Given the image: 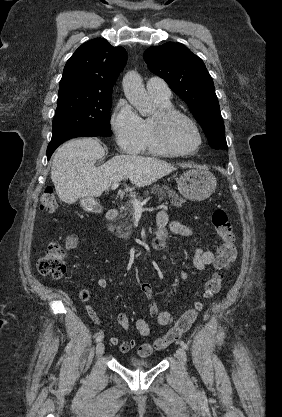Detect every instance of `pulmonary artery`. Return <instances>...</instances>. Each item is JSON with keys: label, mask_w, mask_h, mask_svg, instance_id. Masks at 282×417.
Listing matches in <instances>:
<instances>
[{"label": "pulmonary artery", "mask_w": 282, "mask_h": 417, "mask_svg": "<svg viewBox=\"0 0 282 417\" xmlns=\"http://www.w3.org/2000/svg\"><path fill=\"white\" fill-rule=\"evenodd\" d=\"M146 88L150 96L155 100L169 101L171 90L165 81L158 77L150 78L146 83Z\"/></svg>", "instance_id": "1"}]
</instances>
